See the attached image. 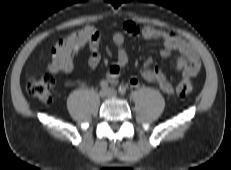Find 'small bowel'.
<instances>
[{
    "label": "small bowel",
    "mask_w": 231,
    "mask_h": 170,
    "mask_svg": "<svg viewBox=\"0 0 231 170\" xmlns=\"http://www.w3.org/2000/svg\"><path fill=\"white\" fill-rule=\"evenodd\" d=\"M126 36H140L145 40L161 41L162 48L160 53L164 58H169L174 52H178L180 57L176 61L175 70L182 72L185 79L196 76L201 68V62L196 49L177 34L149 26L141 28L133 22H125L122 24L121 29L116 31L112 37V41L117 49V57L115 63L109 68L106 74V78L111 84L118 82L121 69L129 61L128 53L125 49ZM87 48L89 50L88 65L91 68H96L101 60L99 37L87 43ZM141 76L146 81L156 84L165 93H174L173 85L159 68L153 65L151 59L145 62L141 69ZM129 83L131 86L136 87L139 81L136 77H131Z\"/></svg>",
    "instance_id": "small-bowel-1"
}]
</instances>
